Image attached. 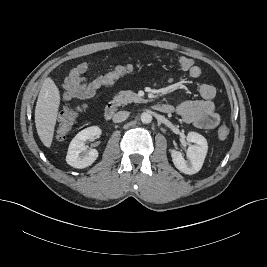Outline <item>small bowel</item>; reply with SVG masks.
<instances>
[{
	"instance_id": "1",
	"label": "small bowel",
	"mask_w": 267,
	"mask_h": 267,
	"mask_svg": "<svg viewBox=\"0 0 267 267\" xmlns=\"http://www.w3.org/2000/svg\"><path fill=\"white\" fill-rule=\"evenodd\" d=\"M90 68L86 61L80 62L70 69L63 83L61 99L64 102L75 98L96 99L99 89L103 86L101 77L97 76L88 80L85 74ZM191 78H198L202 74L199 66L194 65L189 70ZM200 100H187L178 104L174 111L183 119L184 122L193 124L200 129H213L217 127L220 116L216 112L213 99L216 95L215 88L210 84H202L199 88Z\"/></svg>"
}]
</instances>
